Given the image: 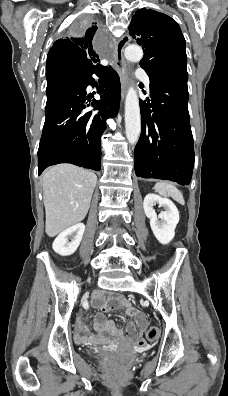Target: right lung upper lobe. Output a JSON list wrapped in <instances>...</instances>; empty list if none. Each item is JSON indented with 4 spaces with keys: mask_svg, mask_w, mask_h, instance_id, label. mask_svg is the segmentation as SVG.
<instances>
[{
    "mask_svg": "<svg viewBox=\"0 0 228 396\" xmlns=\"http://www.w3.org/2000/svg\"><path fill=\"white\" fill-rule=\"evenodd\" d=\"M96 26L89 28L85 35L57 40L50 48L46 72L69 70L76 71L81 67L101 69L104 67L99 62L98 54L93 49V39Z\"/></svg>",
    "mask_w": 228,
    "mask_h": 396,
    "instance_id": "1",
    "label": "right lung upper lobe"
}]
</instances>
